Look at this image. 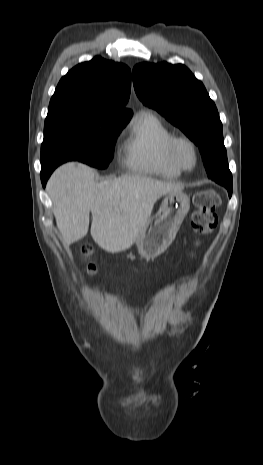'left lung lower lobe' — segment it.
Masks as SVG:
<instances>
[{
    "label": "left lung lower lobe",
    "mask_w": 263,
    "mask_h": 465,
    "mask_svg": "<svg viewBox=\"0 0 263 465\" xmlns=\"http://www.w3.org/2000/svg\"><path fill=\"white\" fill-rule=\"evenodd\" d=\"M204 164L207 170V174L210 178L215 179L216 173L214 171L215 166H218V161L213 156H203Z\"/></svg>",
    "instance_id": "obj_1"
}]
</instances>
